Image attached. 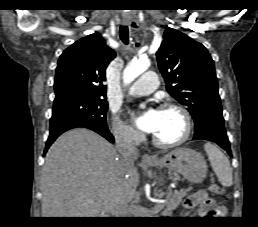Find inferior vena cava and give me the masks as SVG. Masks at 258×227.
<instances>
[{
    "label": "inferior vena cava",
    "mask_w": 258,
    "mask_h": 227,
    "mask_svg": "<svg viewBox=\"0 0 258 227\" xmlns=\"http://www.w3.org/2000/svg\"><path fill=\"white\" fill-rule=\"evenodd\" d=\"M115 139L120 163L125 166L133 165L139 156V151L131 135L126 130H122L116 134Z\"/></svg>",
    "instance_id": "inferior-vena-cava-1"
}]
</instances>
